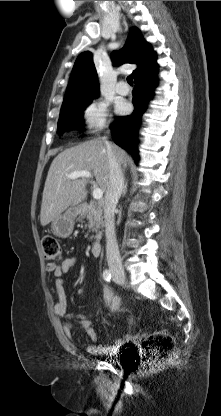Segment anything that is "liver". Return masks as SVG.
<instances>
[{
  "instance_id": "liver-1",
  "label": "liver",
  "mask_w": 221,
  "mask_h": 416,
  "mask_svg": "<svg viewBox=\"0 0 221 416\" xmlns=\"http://www.w3.org/2000/svg\"><path fill=\"white\" fill-rule=\"evenodd\" d=\"M112 150L123 167L128 159L127 153L115 144ZM89 171L96 185L106 193L109 186V163L107 147L103 139L95 138L60 152L52 161L43 190L40 222L46 226L61 215L68 207H75L87 195V178L69 179L75 171Z\"/></svg>"
}]
</instances>
